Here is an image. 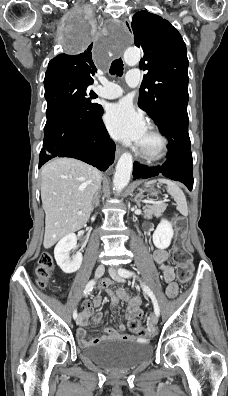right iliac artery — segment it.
Returning <instances> with one entry per match:
<instances>
[{"mask_svg":"<svg viewBox=\"0 0 228 396\" xmlns=\"http://www.w3.org/2000/svg\"><path fill=\"white\" fill-rule=\"evenodd\" d=\"M95 283H96L95 280H91V281L88 282V284L86 285V288H85V290H84V295H87V294H89V292L92 291V289H93ZM77 316H78L77 310H74V312H73V318L76 319Z\"/></svg>","mask_w":228,"mask_h":396,"instance_id":"82829eb1","label":"right iliac artery"}]
</instances>
